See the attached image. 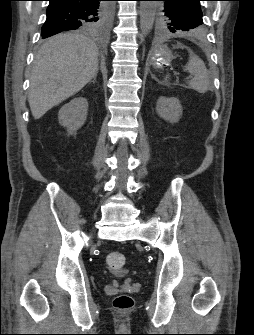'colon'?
<instances>
[{
    "label": "colon",
    "instance_id": "5ec220e1",
    "mask_svg": "<svg viewBox=\"0 0 254 335\" xmlns=\"http://www.w3.org/2000/svg\"><path fill=\"white\" fill-rule=\"evenodd\" d=\"M106 262L108 267L112 271L119 272L125 266L126 258L123 253L118 251H112L107 255ZM113 305L116 309L120 311H128L133 307L134 301L131 296L127 294H121L115 297Z\"/></svg>",
    "mask_w": 254,
    "mask_h": 335
}]
</instances>
